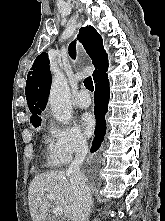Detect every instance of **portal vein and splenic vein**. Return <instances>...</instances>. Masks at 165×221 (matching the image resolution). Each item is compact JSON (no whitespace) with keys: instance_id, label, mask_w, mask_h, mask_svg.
Here are the masks:
<instances>
[{"instance_id":"18ae733b","label":"portal vein and splenic vein","mask_w":165,"mask_h":221,"mask_svg":"<svg viewBox=\"0 0 165 221\" xmlns=\"http://www.w3.org/2000/svg\"><path fill=\"white\" fill-rule=\"evenodd\" d=\"M46 197L49 199V200H52L53 199V196L51 194H47ZM53 213L56 215V216H61L63 215L64 211H63V208L60 207V206H56L54 207L53 209Z\"/></svg>"}]
</instances>
